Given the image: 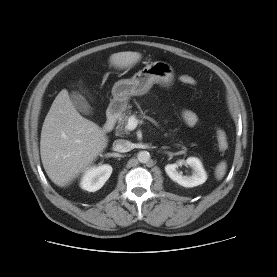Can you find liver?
<instances>
[{"mask_svg":"<svg viewBox=\"0 0 277 277\" xmlns=\"http://www.w3.org/2000/svg\"><path fill=\"white\" fill-rule=\"evenodd\" d=\"M141 60L138 52H118L109 57L118 69L131 67ZM108 145V137L99 125L82 117L68 91L56 96L44 120L40 154L50 180L59 187L68 185L86 172Z\"/></svg>","mask_w":277,"mask_h":277,"instance_id":"1","label":"liver"}]
</instances>
